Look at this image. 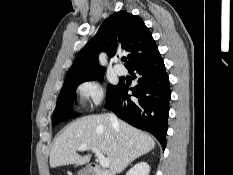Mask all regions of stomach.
Here are the masks:
<instances>
[{"instance_id":"0dacf381","label":"stomach","mask_w":233,"mask_h":175,"mask_svg":"<svg viewBox=\"0 0 233 175\" xmlns=\"http://www.w3.org/2000/svg\"><path fill=\"white\" fill-rule=\"evenodd\" d=\"M78 175H87L86 172H79Z\"/></svg>"}]
</instances>
